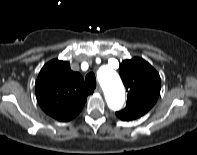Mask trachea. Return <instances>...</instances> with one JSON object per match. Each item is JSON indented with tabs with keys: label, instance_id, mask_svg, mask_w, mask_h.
I'll list each match as a JSON object with an SVG mask.
<instances>
[{
	"label": "trachea",
	"instance_id": "trachea-1",
	"mask_svg": "<svg viewBox=\"0 0 197 155\" xmlns=\"http://www.w3.org/2000/svg\"><path fill=\"white\" fill-rule=\"evenodd\" d=\"M85 81L91 88H96V77L94 73H88L85 77Z\"/></svg>",
	"mask_w": 197,
	"mask_h": 155
}]
</instances>
